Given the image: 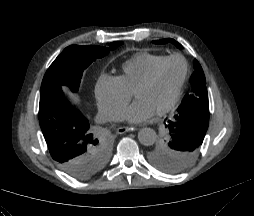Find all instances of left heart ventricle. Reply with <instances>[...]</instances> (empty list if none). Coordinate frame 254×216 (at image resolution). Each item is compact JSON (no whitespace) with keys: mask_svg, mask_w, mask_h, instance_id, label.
I'll use <instances>...</instances> for the list:
<instances>
[{"mask_svg":"<svg viewBox=\"0 0 254 216\" xmlns=\"http://www.w3.org/2000/svg\"><path fill=\"white\" fill-rule=\"evenodd\" d=\"M183 64L179 60H170L161 68L156 80L148 87L138 90L135 98L152 106L156 112L172 99L183 74Z\"/></svg>","mask_w":254,"mask_h":216,"instance_id":"1","label":"left heart ventricle"}]
</instances>
